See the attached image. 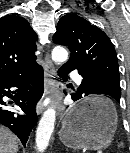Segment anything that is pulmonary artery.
Instances as JSON below:
<instances>
[{"label": "pulmonary artery", "mask_w": 130, "mask_h": 153, "mask_svg": "<svg viewBox=\"0 0 130 153\" xmlns=\"http://www.w3.org/2000/svg\"><path fill=\"white\" fill-rule=\"evenodd\" d=\"M71 78L73 79V81L76 83V84H80L81 83V76H79L78 74L76 73H72L71 74Z\"/></svg>", "instance_id": "obj_1"}]
</instances>
